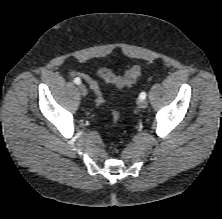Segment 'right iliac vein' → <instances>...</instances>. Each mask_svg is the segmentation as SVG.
<instances>
[{"label":"right iliac vein","mask_w":222,"mask_h":219,"mask_svg":"<svg viewBox=\"0 0 222 219\" xmlns=\"http://www.w3.org/2000/svg\"><path fill=\"white\" fill-rule=\"evenodd\" d=\"M78 88H79L80 93H81L83 96H86V95H87L88 90H87V88H86V86H85L84 84H80V85L78 86Z\"/></svg>","instance_id":"1"}]
</instances>
